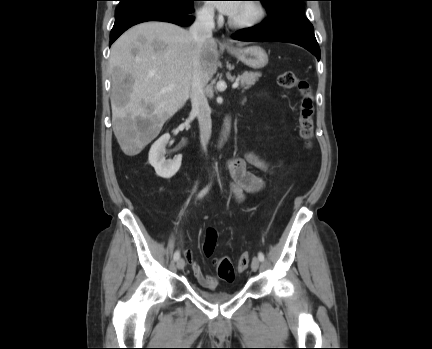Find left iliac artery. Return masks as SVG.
Segmentation results:
<instances>
[{
	"mask_svg": "<svg viewBox=\"0 0 432 349\" xmlns=\"http://www.w3.org/2000/svg\"><path fill=\"white\" fill-rule=\"evenodd\" d=\"M258 258L260 261H264V254L262 252L258 253Z\"/></svg>",
	"mask_w": 432,
	"mask_h": 349,
	"instance_id": "1",
	"label": "left iliac artery"
}]
</instances>
